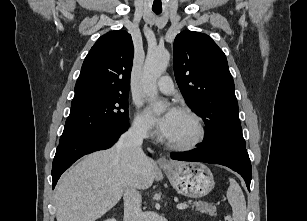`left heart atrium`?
I'll return each instance as SVG.
<instances>
[{
    "mask_svg": "<svg viewBox=\"0 0 307 221\" xmlns=\"http://www.w3.org/2000/svg\"><path fill=\"white\" fill-rule=\"evenodd\" d=\"M148 115L151 120L158 126L161 133L166 138H169L174 131L181 112L176 108H171L165 114L158 116L157 106L151 105L148 109Z\"/></svg>",
    "mask_w": 307,
    "mask_h": 221,
    "instance_id": "left-heart-atrium-1",
    "label": "left heart atrium"
}]
</instances>
